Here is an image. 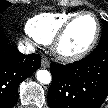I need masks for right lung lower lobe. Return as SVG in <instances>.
<instances>
[{
  "mask_svg": "<svg viewBox=\"0 0 108 108\" xmlns=\"http://www.w3.org/2000/svg\"><path fill=\"white\" fill-rule=\"evenodd\" d=\"M39 54L24 55L7 43L0 31V108H11L18 100V86L41 65Z\"/></svg>",
  "mask_w": 108,
  "mask_h": 108,
  "instance_id": "right-lung-lower-lobe-1",
  "label": "right lung lower lobe"
}]
</instances>
